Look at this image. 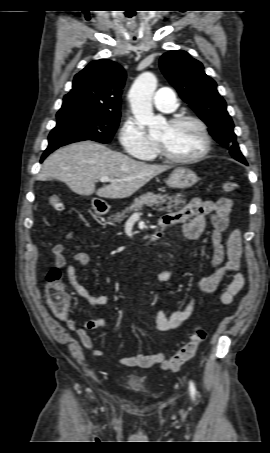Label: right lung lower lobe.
I'll return each mask as SVG.
<instances>
[{
  "label": "right lung lower lobe",
  "mask_w": 270,
  "mask_h": 453,
  "mask_svg": "<svg viewBox=\"0 0 270 453\" xmlns=\"http://www.w3.org/2000/svg\"><path fill=\"white\" fill-rule=\"evenodd\" d=\"M59 147L60 146H48V148L44 151L40 162H42L51 152H53Z\"/></svg>",
  "instance_id": "right-lung-lower-lobe-1"
}]
</instances>
